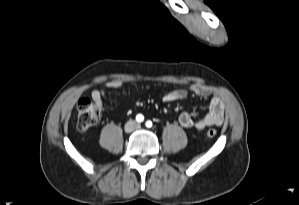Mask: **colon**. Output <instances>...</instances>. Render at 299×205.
I'll use <instances>...</instances> for the list:
<instances>
[{"mask_svg":"<svg viewBox=\"0 0 299 205\" xmlns=\"http://www.w3.org/2000/svg\"><path fill=\"white\" fill-rule=\"evenodd\" d=\"M78 131L85 133L89 131L100 119V108L95 105L90 99L82 98L77 104ZM216 135V130L211 128L207 131V136L213 138Z\"/></svg>","mask_w":299,"mask_h":205,"instance_id":"colon-1","label":"colon"}]
</instances>
